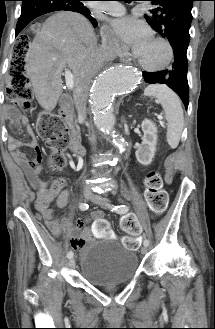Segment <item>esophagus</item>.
<instances>
[{"instance_id":"esophagus-1","label":"esophagus","mask_w":215,"mask_h":329,"mask_svg":"<svg viewBox=\"0 0 215 329\" xmlns=\"http://www.w3.org/2000/svg\"><path fill=\"white\" fill-rule=\"evenodd\" d=\"M124 63H129V60H123Z\"/></svg>"}]
</instances>
